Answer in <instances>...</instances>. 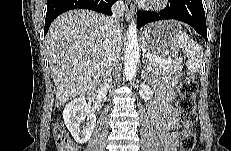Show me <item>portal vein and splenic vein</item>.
<instances>
[{
	"label": "portal vein and splenic vein",
	"instance_id": "obj_1",
	"mask_svg": "<svg viewBox=\"0 0 231 151\" xmlns=\"http://www.w3.org/2000/svg\"><path fill=\"white\" fill-rule=\"evenodd\" d=\"M146 57L150 60H154L158 63H171L172 62V59L170 56L166 57V58H159L157 56H153V55H149L147 54Z\"/></svg>",
	"mask_w": 231,
	"mask_h": 151
}]
</instances>
